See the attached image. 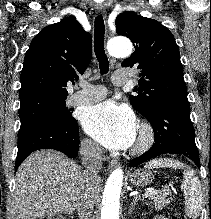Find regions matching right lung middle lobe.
<instances>
[{
    "label": "right lung middle lobe",
    "instance_id": "right-lung-middle-lobe-1",
    "mask_svg": "<svg viewBox=\"0 0 211 219\" xmlns=\"http://www.w3.org/2000/svg\"><path fill=\"white\" fill-rule=\"evenodd\" d=\"M66 98L42 97L21 102L19 117L21 126L42 119H54L63 123L75 120L72 109L66 107Z\"/></svg>",
    "mask_w": 211,
    "mask_h": 219
}]
</instances>
